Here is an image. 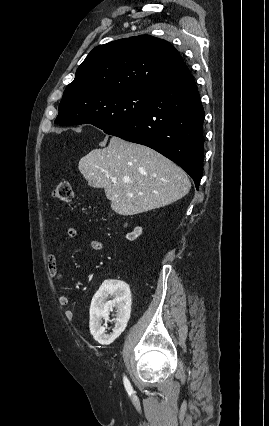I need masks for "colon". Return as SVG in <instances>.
Returning <instances> with one entry per match:
<instances>
[{"mask_svg": "<svg viewBox=\"0 0 269 426\" xmlns=\"http://www.w3.org/2000/svg\"><path fill=\"white\" fill-rule=\"evenodd\" d=\"M53 197L62 203L70 202L73 198L71 184L66 180L59 181L53 189Z\"/></svg>", "mask_w": 269, "mask_h": 426, "instance_id": "5ec220e1", "label": "colon"}]
</instances>
